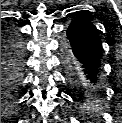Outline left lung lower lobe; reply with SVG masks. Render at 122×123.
I'll use <instances>...</instances> for the list:
<instances>
[{
  "instance_id": "1",
  "label": "left lung lower lobe",
  "mask_w": 122,
  "mask_h": 123,
  "mask_svg": "<svg viewBox=\"0 0 122 123\" xmlns=\"http://www.w3.org/2000/svg\"><path fill=\"white\" fill-rule=\"evenodd\" d=\"M64 68L69 84L89 97L99 91L102 43L91 21L77 16L62 39Z\"/></svg>"
}]
</instances>
